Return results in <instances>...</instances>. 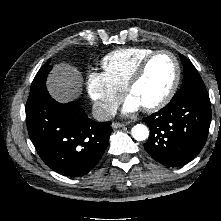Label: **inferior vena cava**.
<instances>
[{
  "instance_id": "602c4592",
  "label": "inferior vena cava",
  "mask_w": 221,
  "mask_h": 221,
  "mask_svg": "<svg viewBox=\"0 0 221 221\" xmlns=\"http://www.w3.org/2000/svg\"><path fill=\"white\" fill-rule=\"evenodd\" d=\"M92 115L97 121L105 122L114 117L116 111L104 104H96L93 106Z\"/></svg>"
}]
</instances>
